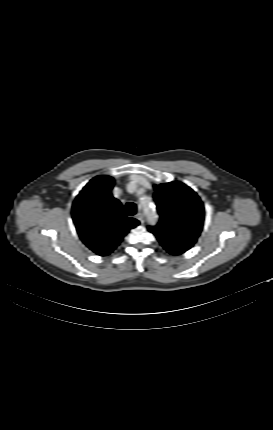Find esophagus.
<instances>
[{"label": "esophagus", "instance_id": "34e87169", "mask_svg": "<svg viewBox=\"0 0 273 430\" xmlns=\"http://www.w3.org/2000/svg\"><path fill=\"white\" fill-rule=\"evenodd\" d=\"M136 218L141 222L144 223V215L142 213L136 214Z\"/></svg>", "mask_w": 273, "mask_h": 430}]
</instances>
